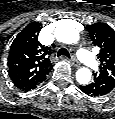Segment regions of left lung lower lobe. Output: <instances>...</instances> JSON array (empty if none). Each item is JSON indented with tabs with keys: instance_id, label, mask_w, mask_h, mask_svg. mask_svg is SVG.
I'll return each mask as SVG.
<instances>
[{
	"instance_id": "1",
	"label": "left lung lower lobe",
	"mask_w": 115,
	"mask_h": 119,
	"mask_svg": "<svg viewBox=\"0 0 115 119\" xmlns=\"http://www.w3.org/2000/svg\"><path fill=\"white\" fill-rule=\"evenodd\" d=\"M114 88L115 81L101 74H95L92 83L80 86L81 91L91 97L105 96L113 91Z\"/></svg>"
}]
</instances>
